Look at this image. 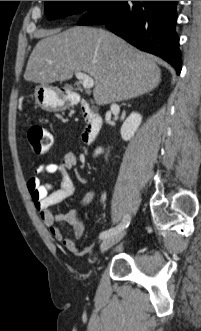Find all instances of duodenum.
Returning <instances> with one entry per match:
<instances>
[{"label": "duodenum", "mask_w": 201, "mask_h": 331, "mask_svg": "<svg viewBox=\"0 0 201 331\" xmlns=\"http://www.w3.org/2000/svg\"><path fill=\"white\" fill-rule=\"evenodd\" d=\"M62 95H65L69 102L76 101L78 96L73 91L66 93L64 90L61 91V96ZM80 110L85 121V127L82 132V141L85 145H90L95 141L100 131L102 120L101 117L91 109L86 101L80 102Z\"/></svg>", "instance_id": "410a0bca"}]
</instances>
